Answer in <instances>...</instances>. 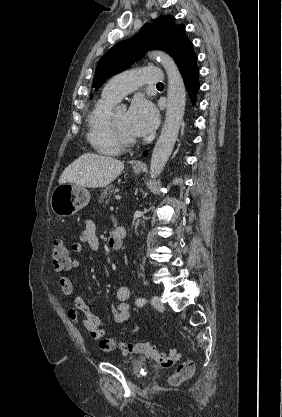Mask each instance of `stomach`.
<instances>
[{
    "label": "stomach",
    "instance_id": "0dacf381",
    "mask_svg": "<svg viewBox=\"0 0 282 417\" xmlns=\"http://www.w3.org/2000/svg\"><path fill=\"white\" fill-rule=\"evenodd\" d=\"M133 170L138 174L142 168L133 166ZM90 196L89 190L84 186H79L74 182H62L54 188L51 194V209L58 217H72L88 204Z\"/></svg>",
    "mask_w": 282,
    "mask_h": 417
}]
</instances>
